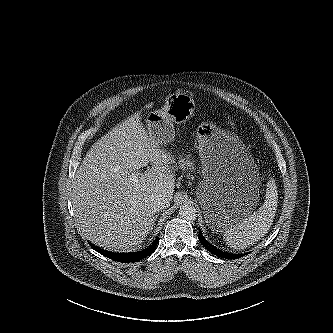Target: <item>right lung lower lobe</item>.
Listing matches in <instances>:
<instances>
[{
  "label": "right lung lower lobe",
  "instance_id": "obj_1",
  "mask_svg": "<svg viewBox=\"0 0 333 333\" xmlns=\"http://www.w3.org/2000/svg\"><path fill=\"white\" fill-rule=\"evenodd\" d=\"M159 241V237L157 236V238L151 243V245H149L147 248H145L142 251H138V252H132V253H114V252H109L106 250H103L99 247H96L95 245L91 244V247L97 251L98 253L114 260L117 262H123V263H129V262H137L142 260L143 258L148 257L149 255H151L157 246V243Z\"/></svg>",
  "mask_w": 333,
  "mask_h": 333
}]
</instances>
